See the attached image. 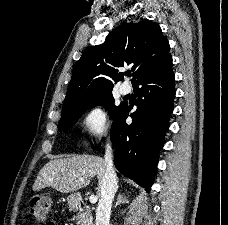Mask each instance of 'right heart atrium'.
<instances>
[{"label": "right heart atrium", "instance_id": "right-heart-atrium-1", "mask_svg": "<svg viewBox=\"0 0 228 225\" xmlns=\"http://www.w3.org/2000/svg\"><path fill=\"white\" fill-rule=\"evenodd\" d=\"M80 124L83 131L95 139H102L109 131L107 112L100 105L87 109L81 116Z\"/></svg>", "mask_w": 228, "mask_h": 225}]
</instances>
